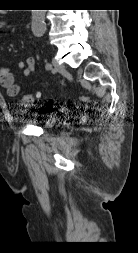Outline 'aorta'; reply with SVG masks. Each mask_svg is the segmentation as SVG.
Wrapping results in <instances>:
<instances>
[{"mask_svg": "<svg viewBox=\"0 0 138 253\" xmlns=\"http://www.w3.org/2000/svg\"><path fill=\"white\" fill-rule=\"evenodd\" d=\"M32 33L40 37L46 31L45 10H32Z\"/></svg>", "mask_w": 138, "mask_h": 253, "instance_id": "aorta-1", "label": "aorta"}]
</instances>
